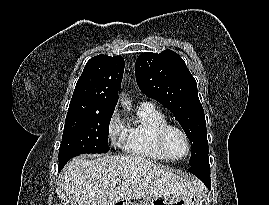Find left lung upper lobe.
Wrapping results in <instances>:
<instances>
[{"mask_svg": "<svg viewBox=\"0 0 269 205\" xmlns=\"http://www.w3.org/2000/svg\"><path fill=\"white\" fill-rule=\"evenodd\" d=\"M135 74L140 90L177 118L192 146L190 167L208 159V141L197 84L183 59L172 50L142 53Z\"/></svg>", "mask_w": 269, "mask_h": 205, "instance_id": "left-lung-upper-lobe-1", "label": "left lung upper lobe"}]
</instances>
